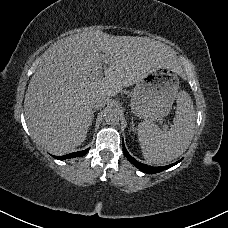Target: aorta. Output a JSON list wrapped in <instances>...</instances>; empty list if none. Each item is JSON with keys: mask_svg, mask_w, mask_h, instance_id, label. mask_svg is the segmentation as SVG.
Returning a JSON list of instances; mask_svg holds the SVG:
<instances>
[{"mask_svg": "<svg viewBox=\"0 0 228 228\" xmlns=\"http://www.w3.org/2000/svg\"><path fill=\"white\" fill-rule=\"evenodd\" d=\"M120 120L119 113L115 109H110L108 110L106 116H105V121L109 125H115L118 124Z\"/></svg>", "mask_w": 228, "mask_h": 228, "instance_id": "aorta-1", "label": "aorta"}]
</instances>
